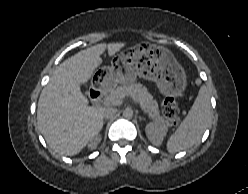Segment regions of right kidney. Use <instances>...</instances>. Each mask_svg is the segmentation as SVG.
I'll return each instance as SVG.
<instances>
[{
  "label": "right kidney",
  "instance_id": "ca27d5eb",
  "mask_svg": "<svg viewBox=\"0 0 248 194\" xmlns=\"http://www.w3.org/2000/svg\"><path fill=\"white\" fill-rule=\"evenodd\" d=\"M101 138L100 137H96L94 139V146H96L99 142H100Z\"/></svg>",
  "mask_w": 248,
  "mask_h": 194
}]
</instances>
